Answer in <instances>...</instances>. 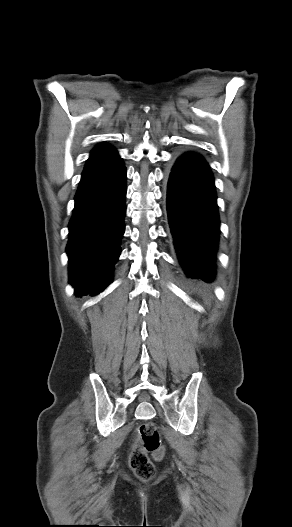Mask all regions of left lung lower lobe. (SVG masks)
Here are the masks:
<instances>
[{"instance_id":"1","label":"left lung lower lobe","mask_w":292,"mask_h":527,"mask_svg":"<svg viewBox=\"0 0 292 527\" xmlns=\"http://www.w3.org/2000/svg\"><path fill=\"white\" fill-rule=\"evenodd\" d=\"M167 211L181 264L192 278L209 281L219 234L214 180L196 153L178 157L168 181Z\"/></svg>"}]
</instances>
